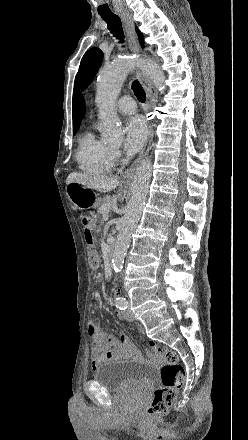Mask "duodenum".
Returning a JSON list of instances; mask_svg holds the SVG:
<instances>
[{
    "label": "duodenum",
    "mask_w": 248,
    "mask_h": 440,
    "mask_svg": "<svg viewBox=\"0 0 248 440\" xmlns=\"http://www.w3.org/2000/svg\"><path fill=\"white\" fill-rule=\"evenodd\" d=\"M114 250H115V244H114V242H111L109 244V248L107 250V262H108L109 265L111 264V260H112V257H113Z\"/></svg>",
    "instance_id": "obj_1"
}]
</instances>
